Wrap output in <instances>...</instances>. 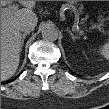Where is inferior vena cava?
Here are the masks:
<instances>
[{
    "label": "inferior vena cava",
    "instance_id": "602c4592",
    "mask_svg": "<svg viewBox=\"0 0 109 109\" xmlns=\"http://www.w3.org/2000/svg\"><path fill=\"white\" fill-rule=\"evenodd\" d=\"M35 26L33 23L31 22H22L21 25H20V30L24 33H29L31 32L32 30H34Z\"/></svg>",
    "mask_w": 109,
    "mask_h": 109
}]
</instances>
